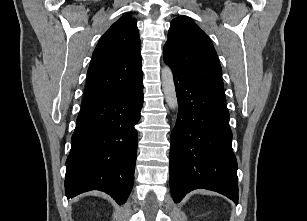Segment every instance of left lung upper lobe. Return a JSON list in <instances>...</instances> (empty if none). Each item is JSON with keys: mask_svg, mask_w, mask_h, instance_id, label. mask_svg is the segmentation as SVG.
<instances>
[{"mask_svg": "<svg viewBox=\"0 0 307 221\" xmlns=\"http://www.w3.org/2000/svg\"><path fill=\"white\" fill-rule=\"evenodd\" d=\"M164 58L193 82L226 100L216 51L191 18L182 15L172 20Z\"/></svg>", "mask_w": 307, "mask_h": 221, "instance_id": "obj_1", "label": "left lung upper lobe"}]
</instances>
